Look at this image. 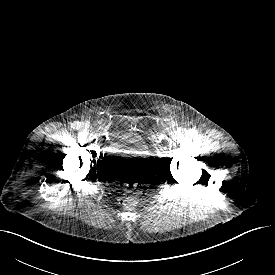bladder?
I'll list each match as a JSON object with an SVG mask.
<instances>
[{
    "mask_svg": "<svg viewBox=\"0 0 275 275\" xmlns=\"http://www.w3.org/2000/svg\"><path fill=\"white\" fill-rule=\"evenodd\" d=\"M158 146L152 136L125 130L115 136L105 160L107 172L114 178L140 180L154 171Z\"/></svg>",
    "mask_w": 275,
    "mask_h": 275,
    "instance_id": "31cf9c89",
    "label": "bladder"
}]
</instances>
